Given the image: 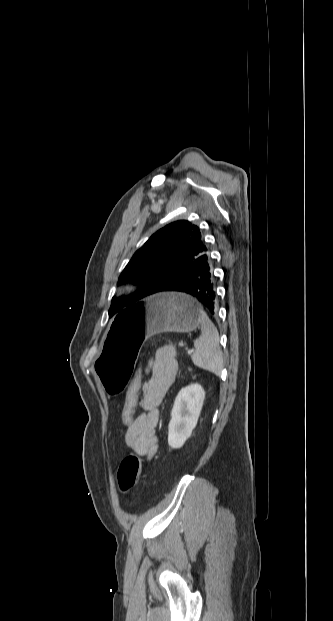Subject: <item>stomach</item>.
Instances as JSON below:
<instances>
[{
	"label": "stomach",
	"instance_id": "stomach-1",
	"mask_svg": "<svg viewBox=\"0 0 333 621\" xmlns=\"http://www.w3.org/2000/svg\"><path fill=\"white\" fill-rule=\"evenodd\" d=\"M205 312L196 300L181 293H160L114 317L103 340L97 374L106 397L118 401L135 373L144 339L159 332L195 330Z\"/></svg>",
	"mask_w": 333,
	"mask_h": 621
}]
</instances>
